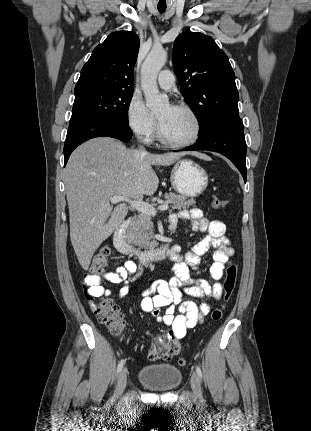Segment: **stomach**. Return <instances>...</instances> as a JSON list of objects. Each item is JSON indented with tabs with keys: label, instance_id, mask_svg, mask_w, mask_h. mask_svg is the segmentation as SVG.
<instances>
[{
	"label": "stomach",
	"instance_id": "1",
	"mask_svg": "<svg viewBox=\"0 0 311 431\" xmlns=\"http://www.w3.org/2000/svg\"><path fill=\"white\" fill-rule=\"evenodd\" d=\"M208 174L193 160H178L170 174L174 192L187 198H197L208 186Z\"/></svg>",
	"mask_w": 311,
	"mask_h": 431
}]
</instances>
